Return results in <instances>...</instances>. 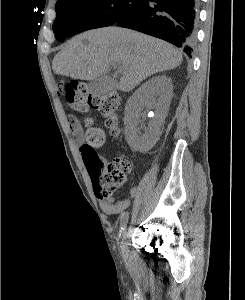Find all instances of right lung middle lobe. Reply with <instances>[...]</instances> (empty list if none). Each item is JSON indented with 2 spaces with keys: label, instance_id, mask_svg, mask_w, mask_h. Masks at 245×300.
I'll return each mask as SVG.
<instances>
[{
  "label": "right lung middle lobe",
  "instance_id": "right-lung-middle-lobe-1",
  "mask_svg": "<svg viewBox=\"0 0 245 300\" xmlns=\"http://www.w3.org/2000/svg\"><path fill=\"white\" fill-rule=\"evenodd\" d=\"M147 0H58L53 31L58 40L123 19Z\"/></svg>",
  "mask_w": 245,
  "mask_h": 300
}]
</instances>
